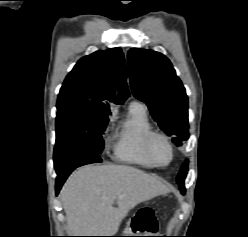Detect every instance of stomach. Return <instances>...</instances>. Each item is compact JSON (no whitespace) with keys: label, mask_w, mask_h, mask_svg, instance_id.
I'll use <instances>...</instances> for the list:
<instances>
[{"label":"stomach","mask_w":248,"mask_h":237,"mask_svg":"<svg viewBox=\"0 0 248 237\" xmlns=\"http://www.w3.org/2000/svg\"><path fill=\"white\" fill-rule=\"evenodd\" d=\"M128 230H131V231H129L130 235H127V236H136L137 232L133 231L131 228H128Z\"/></svg>","instance_id":"stomach-1"}]
</instances>
